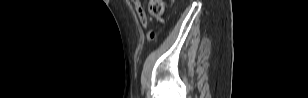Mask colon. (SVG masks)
<instances>
[{
  "mask_svg": "<svg viewBox=\"0 0 308 98\" xmlns=\"http://www.w3.org/2000/svg\"><path fill=\"white\" fill-rule=\"evenodd\" d=\"M149 12L155 18L160 17L163 14V12H164V3H163V1L162 0H151L149 2ZM148 37L150 39H154L155 34L153 32H150L148 34Z\"/></svg>",
  "mask_w": 308,
  "mask_h": 98,
  "instance_id": "5ec220e1",
  "label": "colon"
}]
</instances>
